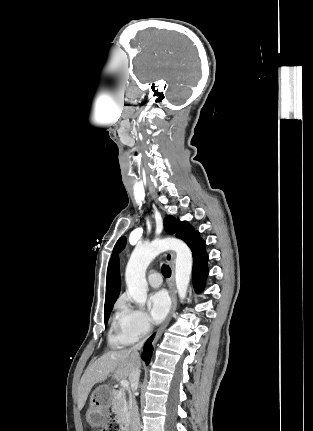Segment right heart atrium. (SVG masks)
Masks as SVG:
<instances>
[{
  "instance_id": "d8ad5b80",
  "label": "right heart atrium",
  "mask_w": 313,
  "mask_h": 431,
  "mask_svg": "<svg viewBox=\"0 0 313 431\" xmlns=\"http://www.w3.org/2000/svg\"><path fill=\"white\" fill-rule=\"evenodd\" d=\"M123 308L122 323L126 330L136 340L144 338L151 332V323L147 314L139 308L127 305L126 301L121 302Z\"/></svg>"
}]
</instances>
